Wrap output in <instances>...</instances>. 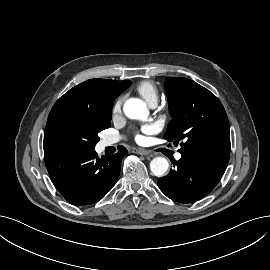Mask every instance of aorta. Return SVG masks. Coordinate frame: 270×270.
Segmentation results:
<instances>
[{"label":"aorta","mask_w":270,"mask_h":270,"mask_svg":"<svg viewBox=\"0 0 270 270\" xmlns=\"http://www.w3.org/2000/svg\"><path fill=\"white\" fill-rule=\"evenodd\" d=\"M123 111L130 119L146 120L149 111L145 102L137 98L128 99L124 106ZM169 163L164 157H155L150 162V170L155 176H163L168 170Z\"/></svg>","instance_id":"1"}]
</instances>
